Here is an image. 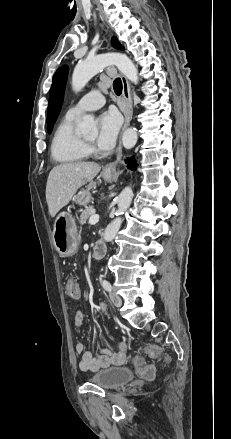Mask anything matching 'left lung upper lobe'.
I'll return each mask as SVG.
<instances>
[{"label":"left lung upper lobe","instance_id":"5c2ea615","mask_svg":"<svg viewBox=\"0 0 231 439\" xmlns=\"http://www.w3.org/2000/svg\"><path fill=\"white\" fill-rule=\"evenodd\" d=\"M112 45L116 49H123L119 41L116 37L112 38ZM68 68L61 67L59 68L52 81V86L49 94V107H48V116H47V130L51 133L53 129V125L59 115L62 103H63V95L64 88L67 80Z\"/></svg>","mask_w":231,"mask_h":439}]
</instances>
